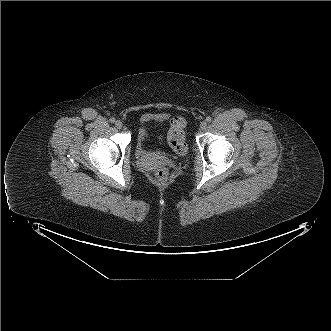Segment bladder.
<instances>
[{
	"label": "bladder",
	"instance_id": "obj_1",
	"mask_svg": "<svg viewBox=\"0 0 331 331\" xmlns=\"http://www.w3.org/2000/svg\"><path fill=\"white\" fill-rule=\"evenodd\" d=\"M149 136V131L147 128L146 121L142 122L137 130L135 139V151L140 158L147 159H161L167 156V153L162 149H149L146 145V141ZM187 153V148L180 153V155H185Z\"/></svg>",
	"mask_w": 331,
	"mask_h": 331
}]
</instances>
